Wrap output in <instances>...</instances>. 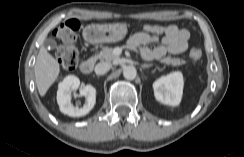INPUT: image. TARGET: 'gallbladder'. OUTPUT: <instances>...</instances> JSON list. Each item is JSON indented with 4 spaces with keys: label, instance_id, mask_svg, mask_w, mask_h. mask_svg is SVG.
Masks as SVG:
<instances>
[{
    "label": "gallbladder",
    "instance_id": "1",
    "mask_svg": "<svg viewBox=\"0 0 244 157\" xmlns=\"http://www.w3.org/2000/svg\"><path fill=\"white\" fill-rule=\"evenodd\" d=\"M45 44H46L47 46H50L51 48H55V47H56V42H55V40H53V39H51V38L47 39V40L45 41Z\"/></svg>",
    "mask_w": 244,
    "mask_h": 157
}]
</instances>
